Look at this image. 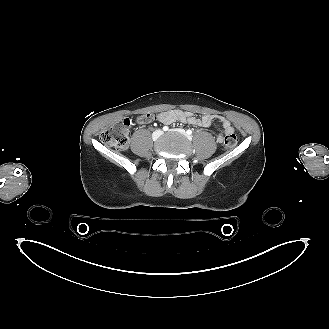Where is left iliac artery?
Masks as SVG:
<instances>
[{
  "label": "left iliac artery",
  "instance_id": "44dca946",
  "mask_svg": "<svg viewBox=\"0 0 329 329\" xmlns=\"http://www.w3.org/2000/svg\"><path fill=\"white\" fill-rule=\"evenodd\" d=\"M187 134L190 136V135H192V131L189 129V130H187Z\"/></svg>",
  "mask_w": 329,
  "mask_h": 329
}]
</instances>
